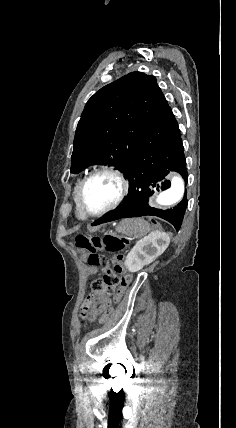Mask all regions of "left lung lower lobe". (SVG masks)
<instances>
[{
  "label": "left lung lower lobe",
  "mask_w": 236,
  "mask_h": 428,
  "mask_svg": "<svg viewBox=\"0 0 236 428\" xmlns=\"http://www.w3.org/2000/svg\"><path fill=\"white\" fill-rule=\"evenodd\" d=\"M169 170L180 173L187 182L180 130L170 107L147 129L124 171L129 180L126 199L115 210L93 222L92 226L122 218L152 215L169 221L179 230L188 203L186 194L172 209L162 210L148 205L149 195L155 190L170 187V181L166 178Z\"/></svg>",
  "instance_id": "left-lung-lower-lobe-1"
}]
</instances>
